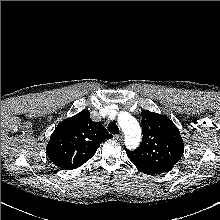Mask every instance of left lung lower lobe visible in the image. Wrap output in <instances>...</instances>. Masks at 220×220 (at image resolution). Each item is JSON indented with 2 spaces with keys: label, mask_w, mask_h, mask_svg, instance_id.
<instances>
[{
  "label": "left lung lower lobe",
  "mask_w": 220,
  "mask_h": 220,
  "mask_svg": "<svg viewBox=\"0 0 220 220\" xmlns=\"http://www.w3.org/2000/svg\"><path fill=\"white\" fill-rule=\"evenodd\" d=\"M140 170H142L143 172L147 173V174H151V175H155L153 172H151L150 170L146 169L145 167L141 166V165H137L135 164Z\"/></svg>",
  "instance_id": "left-lung-lower-lobe-1"
}]
</instances>
